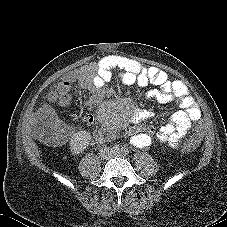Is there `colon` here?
<instances>
[{"label":"colon","mask_w":227,"mask_h":227,"mask_svg":"<svg viewBox=\"0 0 227 227\" xmlns=\"http://www.w3.org/2000/svg\"><path fill=\"white\" fill-rule=\"evenodd\" d=\"M62 94L55 89H51L47 93V99L51 102L62 99ZM37 134L40 143L47 146H55L62 144L67 136L66 127L58 120H47L39 122L37 125ZM199 146V140H193L191 137L185 141V145L181 148L183 155L193 154L195 148Z\"/></svg>","instance_id":"1"}]
</instances>
